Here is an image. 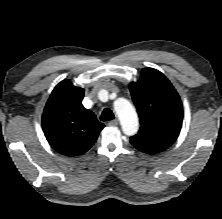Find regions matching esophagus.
Instances as JSON below:
<instances>
[{
    "mask_svg": "<svg viewBox=\"0 0 222 219\" xmlns=\"http://www.w3.org/2000/svg\"><path fill=\"white\" fill-rule=\"evenodd\" d=\"M108 125H110V126H116V125H118V119H114V120L110 121V122L108 123Z\"/></svg>",
    "mask_w": 222,
    "mask_h": 219,
    "instance_id": "obj_1",
    "label": "esophagus"
}]
</instances>
